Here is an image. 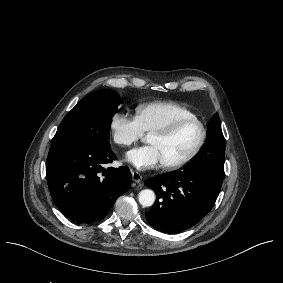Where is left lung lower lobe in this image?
Listing matches in <instances>:
<instances>
[{
	"mask_svg": "<svg viewBox=\"0 0 283 283\" xmlns=\"http://www.w3.org/2000/svg\"><path fill=\"white\" fill-rule=\"evenodd\" d=\"M213 151V150H212ZM223 168L218 153L203 154L183 170L161 174L144 184L154 189L156 202L145 213L147 222L164 233H178L197 224L214 206Z\"/></svg>",
	"mask_w": 283,
	"mask_h": 283,
	"instance_id": "left-lung-lower-lobe-1",
	"label": "left lung lower lobe"
}]
</instances>
